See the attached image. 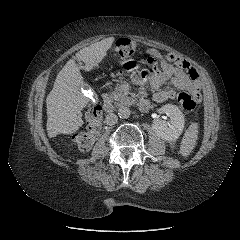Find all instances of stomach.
Returning a JSON list of instances; mask_svg holds the SVG:
<instances>
[{
  "label": "stomach",
  "instance_id": "1",
  "mask_svg": "<svg viewBox=\"0 0 240 240\" xmlns=\"http://www.w3.org/2000/svg\"><path fill=\"white\" fill-rule=\"evenodd\" d=\"M121 66L126 71H133L139 68L138 61L135 59H129L121 62Z\"/></svg>",
  "mask_w": 240,
  "mask_h": 240
}]
</instances>
